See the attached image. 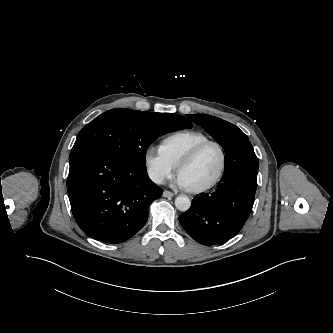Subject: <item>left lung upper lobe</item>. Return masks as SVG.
Returning a JSON list of instances; mask_svg holds the SVG:
<instances>
[{"label":"left lung upper lobe","instance_id":"1","mask_svg":"<svg viewBox=\"0 0 333 333\" xmlns=\"http://www.w3.org/2000/svg\"><path fill=\"white\" fill-rule=\"evenodd\" d=\"M193 122L200 125L227 152L236 144L248 140V137L235 125L210 115H187Z\"/></svg>","mask_w":333,"mask_h":333}]
</instances>
